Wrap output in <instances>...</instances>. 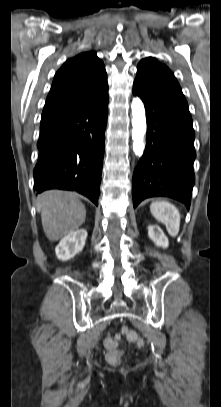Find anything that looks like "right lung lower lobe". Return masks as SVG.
<instances>
[{"instance_id": "obj_1", "label": "right lung lower lobe", "mask_w": 221, "mask_h": 407, "mask_svg": "<svg viewBox=\"0 0 221 407\" xmlns=\"http://www.w3.org/2000/svg\"><path fill=\"white\" fill-rule=\"evenodd\" d=\"M108 92L83 105L42 115L34 190H74L98 205Z\"/></svg>"}]
</instances>
